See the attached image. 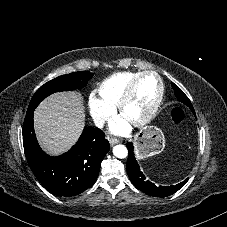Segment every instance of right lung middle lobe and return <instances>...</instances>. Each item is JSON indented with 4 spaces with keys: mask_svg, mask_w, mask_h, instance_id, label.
<instances>
[{
    "mask_svg": "<svg viewBox=\"0 0 227 227\" xmlns=\"http://www.w3.org/2000/svg\"><path fill=\"white\" fill-rule=\"evenodd\" d=\"M92 76L93 73H90L89 71H79L62 75L48 81L36 91L30 101L27 111L35 110L39 103L52 93L83 88Z\"/></svg>",
    "mask_w": 227,
    "mask_h": 227,
    "instance_id": "obj_1",
    "label": "right lung middle lobe"
}]
</instances>
